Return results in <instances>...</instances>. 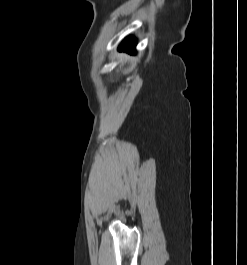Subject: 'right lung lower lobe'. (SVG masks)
Here are the masks:
<instances>
[{"label":"right lung lower lobe","mask_w":247,"mask_h":265,"mask_svg":"<svg viewBox=\"0 0 247 265\" xmlns=\"http://www.w3.org/2000/svg\"><path fill=\"white\" fill-rule=\"evenodd\" d=\"M136 40L133 38H127L120 45L119 50L127 51L129 53H135Z\"/></svg>","instance_id":"98d812e1"}]
</instances>
